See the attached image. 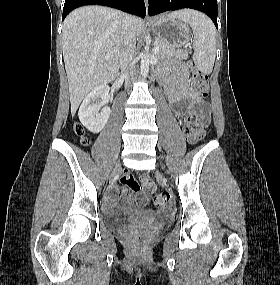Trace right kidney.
Here are the masks:
<instances>
[{
  "label": "right kidney",
  "instance_id": "ca27d5eb",
  "mask_svg": "<svg viewBox=\"0 0 280 285\" xmlns=\"http://www.w3.org/2000/svg\"><path fill=\"white\" fill-rule=\"evenodd\" d=\"M109 93L107 85L94 88L83 100L79 108V119L81 123L92 133H99L106 125L111 109L105 106L100 113L98 110L106 103ZM100 100V101H99Z\"/></svg>",
  "mask_w": 280,
  "mask_h": 285
}]
</instances>
